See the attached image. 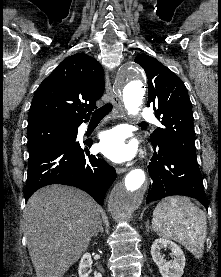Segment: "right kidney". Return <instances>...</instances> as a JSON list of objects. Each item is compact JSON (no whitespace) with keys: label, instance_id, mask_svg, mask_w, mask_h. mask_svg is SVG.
Masks as SVG:
<instances>
[{"label":"right kidney","instance_id":"ca27d5eb","mask_svg":"<svg viewBox=\"0 0 221 277\" xmlns=\"http://www.w3.org/2000/svg\"><path fill=\"white\" fill-rule=\"evenodd\" d=\"M92 259L90 253H85L79 263V277H88L91 272ZM94 277H102L101 273H94Z\"/></svg>","mask_w":221,"mask_h":277}]
</instances>
